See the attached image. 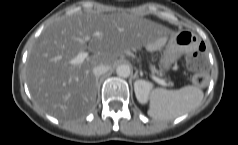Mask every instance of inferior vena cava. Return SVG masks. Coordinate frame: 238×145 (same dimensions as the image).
<instances>
[{
	"label": "inferior vena cava",
	"mask_w": 238,
	"mask_h": 145,
	"mask_svg": "<svg viewBox=\"0 0 238 145\" xmlns=\"http://www.w3.org/2000/svg\"><path fill=\"white\" fill-rule=\"evenodd\" d=\"M110 70L109 65H98L93 68V74L96 77H99Z\"/></svg>",
	"instance_id": "602c4592"
}]
</instances>
